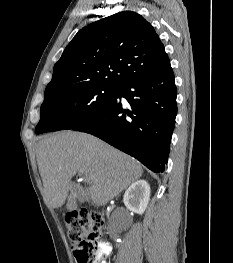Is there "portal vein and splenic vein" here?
<instances>
[{"label":"portal vein and splenic vein","mask_w":233,"mask_h":263,"mask_svg":"<svg viewBox=\"0 0 233 263\" xmlns=\"http://www.w3.org/2000/svg\"><path fill=\"white\" fill-rule=\"evenodd\" d=\"M84 180H85L86 182H89L88 179H86L85 177H84Z\"/></svg>","instance_id":"obj_1"}]
</instances>
